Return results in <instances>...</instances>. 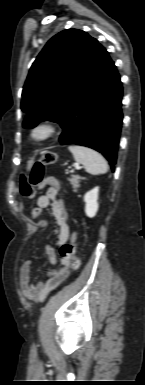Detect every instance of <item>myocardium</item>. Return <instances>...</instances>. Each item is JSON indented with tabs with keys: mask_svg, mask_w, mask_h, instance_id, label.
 I'll use <instances>...</instances> for the list:
<instances>
[{
	"mask_svg": "<svg viewBox=\"0 0 145 385\" xmlns=\"http://www.w3.org/2000/svg\"><path fill=\"white\" fill-rule=\"evenodd\" d=\"M56 126L50 122H41L35 125L30 131V138L36 143H43L49 140L56 133Z\"/></svg>",
	"mask_w": 145,
	"mask_h": 385,
	"instance_id": "obj_1",
	"label": "myocardium"
}]
</instances>
